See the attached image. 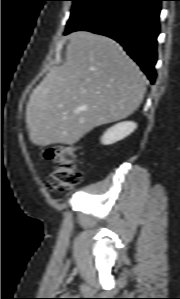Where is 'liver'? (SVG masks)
<instances>
[{
  "mask_svg": "<svg viewBox=\"0 0 180 299\" xmlns=\"http://www.w3.org/2000/svg\"><path fill=\"white\" fill-rule=\"evenodd\" d=\"M146 91L139 67L114 40L70 35L63 65L49 70L26 107L31 142L72 145L93 128L130 116Z\"/></svg>",
  "mask_w": 180,
  "mask_h": 299,
  "instance_id": "1",
  "label": "liver"
}]
</instances>
